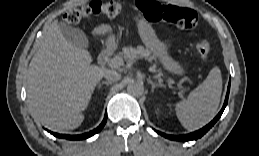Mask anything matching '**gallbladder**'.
Returning a JSON list of instances; mask_svg holds the SVG:
<instances>
[{
	"mask_svg": "<svg viewBox=\"0 0 259 156\" xmlns=\"http://www.w3.org/2000/svg\"><path fill=\"white\" fill-rule=\"evenodd\" d=\"M60 30L65 39L70 43L82 48L89 46V40L81 29L63 23L60 25Z\"/></svg>",
	"mask_w": 259,
	"mask_h": 156,
	"instance_id": "1",
	"label": "gallbladder"
}]
</instances>
